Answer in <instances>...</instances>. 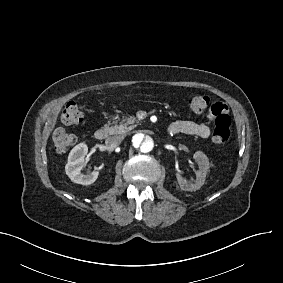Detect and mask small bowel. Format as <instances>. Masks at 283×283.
Wrapping results in <instances>:
<instances>
[{"label": "small bowel", "instance_id": "small-bowel-1", "mask_svg": "<svg viewBox=\"0 0 283 283\" xmlns=\"http://www.w3.org/2000/svg\"><path fill=\"white\" fill-rule=\"evenodd\" d=\"M231 109L232 106L227 101L214 102L208 107L207 116L210 120L215 121L221 114H228ZM169 130L173 134L182 133L197 136L202 139H206L210 136V128L206 123L190 120L177 121L170 126Z\"/></svg>", "mask_w": 283, "mask_h": 283}]
</instances>
